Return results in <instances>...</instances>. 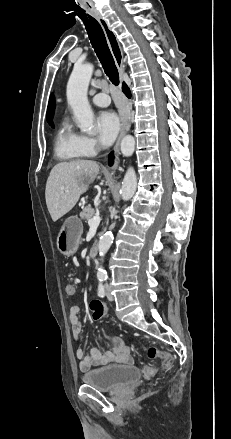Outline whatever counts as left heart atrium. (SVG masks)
Instances as JSON below:
<instances>
[{
  "mask_svg": "<svg viewBox=\"0 0 231 439\" xmlns=\"http://www.w3.org/2000/svg\"><path fill=\"white\" fill-rule=\"evenodd\" d=\"M96 127L102 145L110 146L120 130V121L114 112L106 111L98 116Z\"/></svg>",
  "mask_w": 231,
  "mask_h": 439,
  "instance_id": "left-heart-atrium-1",
  "label": "left heart atrium"
}]
</instances>
